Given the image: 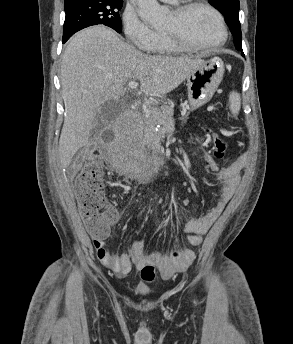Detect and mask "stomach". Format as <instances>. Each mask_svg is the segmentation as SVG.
<instances>
[{
	"label": "stomach",
	"instance_id": "0dacf381",
	"mask_svg": "<svg viewBox=\"0 0 293 344\" xmlns=\"http://www.w3.org/2000/svg\"><path fill=\"white\" fill-rule=\"evenodd\" d=\"M223 73V62L219 58H212L188 75L186 85L191 111L203 106L213 97Z\"/></svg>",
	"mask_w": 293,
	"mask_h": 344
}]
</instances>
